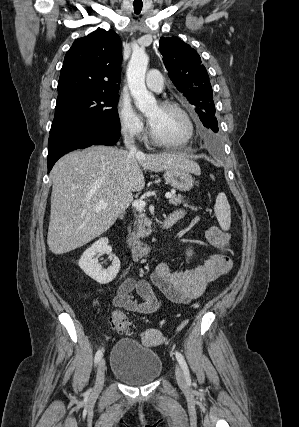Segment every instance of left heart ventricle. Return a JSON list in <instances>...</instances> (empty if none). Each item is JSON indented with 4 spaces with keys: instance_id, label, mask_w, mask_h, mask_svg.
Returning a JSON list of instances; mask_svg holds the SVG:
<instances>
[{
    "instance_id": "1",
    "label": "left heart ventricle",
    "mask_w": 299,
    "mask_h": 427,
    "mask_svg": "<svg viewBox=\"0 0 299 427\" xmlns=\"http://www.w3.org/2000/svg\"><path fill=\"white\" fill-rule=\"evenodd\" d=\"M147 116L154 132L165 140H181L187 134L184 118L174 109L153 106Z\"/></svg>"
}]
</instances>
